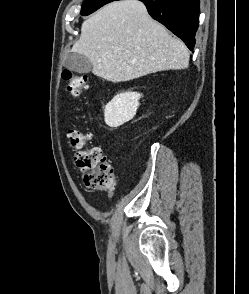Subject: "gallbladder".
Instances as JSON below:
<instances>
[{
    "label": "gallbladder",
    "mask_w": 249,
    "mask_h": 294,
    "mask_svg": "<svg viewBox=\"0 0 249 294\" xmlns=\"http://www.w3.org/2000/svg\"><path fill=\"white\" fill-rule=\"evenodd\" d=\"M64 67L78 73H89L92 70L90 60L81 54L71 52L64 60Z\"/></svg>",
    "instance_id": "1"
}]
</instances>
